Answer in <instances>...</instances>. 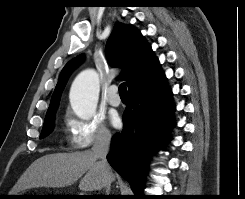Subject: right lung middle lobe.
<instances>
[{
	"instance_id": "right-lung-middle-lobe-1",
	"label": "right lung middle lobe",
	"mask_w": 245,
	"mask_h": 199,
	"mask_svg": "<svg viewBox=\"0 0 245 199\" xmlns=\"http://www.w3.org/2000/svg\"><path fill=\"white\" fill-rule=\"evenodd\" d=\"M54 118H55V112L45 117L44 125L42 128L41 134H40V138L46 137L52 132L54 128Z\"/></svg>"
}]
</instances>
